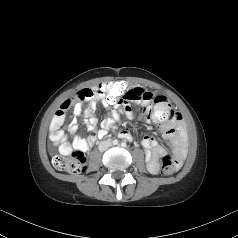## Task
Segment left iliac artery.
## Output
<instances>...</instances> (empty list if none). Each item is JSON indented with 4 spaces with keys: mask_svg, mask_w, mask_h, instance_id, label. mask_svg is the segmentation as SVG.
I'll use <instances>...</instances> for the list:
<instances>
[{
    "mask_svg": "<svg viewBox=\"0 0 238 238\" xmlns=\"http://www.w3.org/2000/svg\"><path fill=\"white\" fill-rule=\"evenodd\" d=\"M121 146H122V147H126L127 144H126L125 142H122V143H121Z\"/></svg>",
    "mask_w": 238,
    "mask_h": 238,
    "instance_id": "44dca946",
    "label": "left iliac artery"
}]
</instances>
